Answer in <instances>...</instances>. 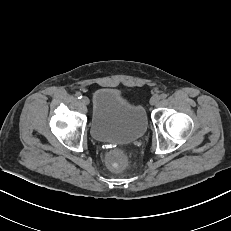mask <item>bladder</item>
I'll list each match as a JSON object with an SVG mask.
<instances>
[{"label":"bladder","mask_w":231,"mask_h":231,"mask_svg":"<svg viewBox=\"0 0 231 231\" xmlns=\"http://www.w3.org/2000/svg\"><path fill=\"white\" fill-rule=\"evenodd\" d=\"M147 115L142 105L124 98L111 88L93 94L90 132L99 142L129 143L147 130Z\"/></svg>","instance_id":"1"}]
</instances>
